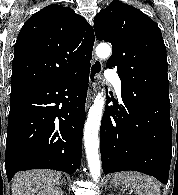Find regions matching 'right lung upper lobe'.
I'll list each match as a JSON object with an SVG mask.
<instances>
[{
    "label": "right lung upper lobe",
    "mask_w": 178,
    "mask_h": 195,
    "mask_svg": "<svg viewBox=\"0 0 178 195\" xmlns=\"http://www.w3.org/2000/svg\"><path fill=\"white\" fill-rule=\"evenodd\" d=\"M94 31L69 7L49 5L23 25L14 47L11 91L72 77L91 66Z\"/></svg>",
    "instance_id": "1"
}]
</instances>
